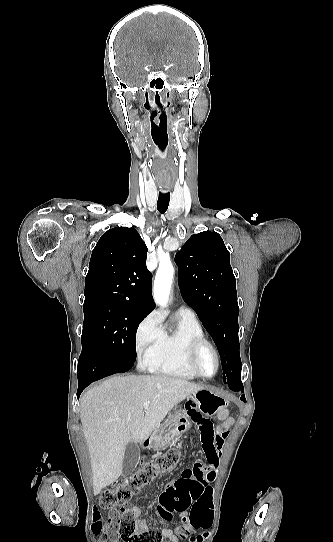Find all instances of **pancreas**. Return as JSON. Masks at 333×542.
<instances>
[{
    "instance_id": "cf45deb5",
    "label": "pancreas",
    "mask_w": 333,
    "mask_h": 542,
    "mask_svg": "<svg viewBox=\"0 0 333 542\" xmlns=\"http://www.w3.org/2000/svg\"><path fill=\"white\" fill-rule=\"evenodd\" d=\"M179 418H181L179 414H177V416H173V414H169L168 416V420H179Z\"/></svg>"
}]
</instances>
